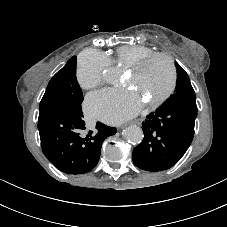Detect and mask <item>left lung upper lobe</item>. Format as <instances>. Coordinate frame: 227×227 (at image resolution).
Here are the masks:
<instances>
[{
    "mask_svg": "<svg viewBox=\"0 0 227 227\" xmlns=\"http://www.w3.org/2000/svg\"><path fill=\"white\" fill-rule=\"evenodd\" d=\"M178 80L174 94L163 105L175 102L196 105V96L187 73L176 63Z\"/></svg>",
    "mask_w": 227,
    "mask_h": 227,
    "instance_id": "1",
    "label": "left lung upper lobe"
}]
</instances>
